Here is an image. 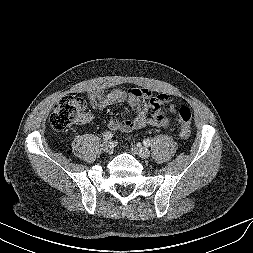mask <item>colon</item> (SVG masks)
Returning a JSON list of instances; mask_svg holds the SVG:
<instances>
[{
	"label": "colon",
	"instance_id": "1",
	"mask_svg": "<svg viewBox=\"0 0 253 253\" xmlns=\"http://www.w3.org/2000/svg\"><path fill=\"white\" fill-rule=\"evenodd\" d=\"M85 108L86 101L84 98L73 95L64 96L55 104L50 117V124L55 130H66L83 119ZM178 114L181 127L180 136L182 139H188L191 134V111L186 106L179 105Z\"/></svg>",
	"mask_w": 253,
	"mask_h": 253
}]
</instances>
